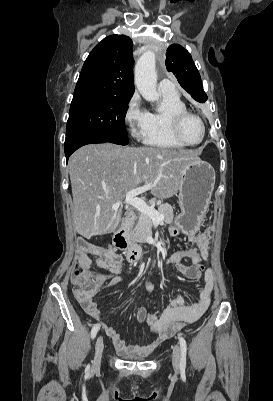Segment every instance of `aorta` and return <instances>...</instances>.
<instances>
[{
    "label": "aorta",
    "mask_w": 273,
    "mask_h": 401,
    "mask_svg": "<svg viewBox=\"0 0 273 401\" xmlns=\"http://www.w3.org/2000/svg\"><path fill=\"white\" fill-rule=\"evenodd\" d=\"M135 85L145 100L155 102L159 99L155 54L153 52H145L137 61L135 66Z\"/></svg>",
    "instance_id": "aorta-1"
}]
</instances>
